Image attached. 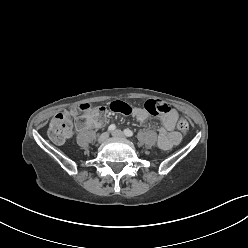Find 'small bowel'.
I'll use <instances>...</instances> for the list:
<instances>
[{"label": "small bowel", "mask_w": 248, "mask_h": 248, "mask_svg": "<svg viewBox=\"0 0 248 248\" xmlns=\"http://www.w3.org/2000/svg\"><path fill=\"white\" fill-rule=\"evenodd\" d=\"M132 115L141 125H146L148 121V113L139 107L132 110ZM178 113L171 110L161 117L162 127L157 132L158 145L163 150H169L180 141V135L174 131Z\"/></svg>", "instance_id": "small-bowel-1"}]
</instances>
